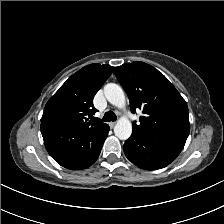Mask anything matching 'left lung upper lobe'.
<instances>
[{"instance_id":"5c2ea615","label":"left lung upper lobe","mask_w":224,"mask_h":224,"mask_svg":"<svg viewBox=\"0 0 224 224\" xmlns=\"http://www.w3.org/2000/svg\"><path fill=\"white\" fill-rule=\"evenodd\" d=\"M114 74L129 97L132 112L143 110L133 130L186 142L190 131L187 104L161 72L144 62H132L116 67Z\"/></svg>"}]
</instances>
